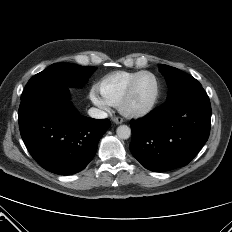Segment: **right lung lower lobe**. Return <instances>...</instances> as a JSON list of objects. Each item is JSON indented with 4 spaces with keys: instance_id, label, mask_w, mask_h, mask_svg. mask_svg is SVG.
Wrapping results in <instances>:
<instances>
[{
    "instance_id": "98d812e1",
    "label": "right lung lower lobe",
    "mask_w": 232,
    "mask_h": 232,
    "mask_svg": "<svg viewBox=\"0 0 232 232\" xmlns=\"http://www.w3.org/2000/svg\"><path fill=\"white\" fill-rule=\"evenodd\" d=\"M68 87H50L21 97L19 128L35 161L44 169L70 175L84 169L111 123L80 116L71 106Z\"/></svg>"
}]
</instances>
